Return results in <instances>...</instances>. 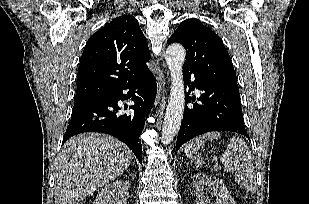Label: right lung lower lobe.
<instances>
[{
    "label": "right lung lower lobe",
    "instance_id": "1",
    "mask_svg": "<svg viewBox=\"0 0 309 204\" xmlns=\"http://www.w3.org/2000/svg\"><path fill=\"white\" fill-rule=\"evenodd\" d=\"M125 89L129 90L130 94H123L122 91ZM156 92L155 78L148 70L138 79L124 86L76 101L62 144L70 137L82 132L106 133L123 141L142 164V147L139 137L152 108ZM130 97L135 103L129 107L134 110V114H123L117 103L119 100L123 101Z\"/></svg>",
    "mask_w": 309,
    "mask_h": 204
}]
</instances>
